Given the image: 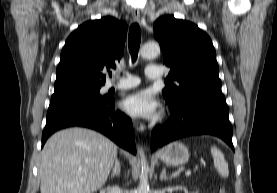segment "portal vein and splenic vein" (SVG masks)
Listing matches in <instances>:
<instances>
[{
  "label": "portal vein and splenic vein",
  "mask_w": 277,
  "mask_h": 193,
  "mask_svg": "<svg viewBox=\"0 0 277 193\" xmlns=\"http://www.w3.org/2000/svg\"><path fill=\"white\" fill-rule=\"evenodd\" d=\"M185 175H186V176L191 175V170H187V171L185 172Z\"/></svg>",
  "instance_id": "obj_1"
}]
</instances>
